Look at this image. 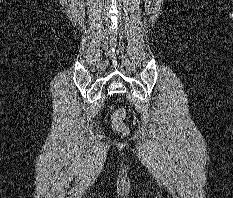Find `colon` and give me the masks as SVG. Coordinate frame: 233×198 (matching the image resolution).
I'll list each match as a JSON object with an SVG mask.
<instances>
[{
	"label": "colon",
	"mask_w": 233,
	"mask_h": 198,
	"mask_svg": "<svg viewBox=\"0 0 233 198\" xmlns=\"http://www.w3.org/2000/svg\"><path fill=\"white\" fill-rule=\"evenodd\" d=\"M126 118V111L124 108H118L114 111L111 116V125L113 129L119 133L126 134L128 133V127L125 124L124 120Z\"/></svg>",
	"instance_id": "obj_1"
}]
</instances>
